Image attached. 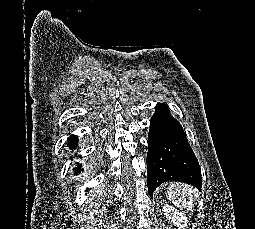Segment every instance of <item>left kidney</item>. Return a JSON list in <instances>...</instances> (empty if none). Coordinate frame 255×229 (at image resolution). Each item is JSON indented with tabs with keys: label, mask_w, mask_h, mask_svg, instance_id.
<instances>
[{
	"label": "left kidney",
	"mask_w": 255,
	"mask_h": 229,
	"mask_svg": "<svg viewBox=\"0 0 255 229\" xmlns=\"http://www.w3.org/2000/svg\"><path fill=\"white\" fill-rule=\"evenodd\" d=\"M163 212L166 218L173 223L175 226L185 229L187 226L188 219L187 217L179 212L176 208L169 204L163 205Z\"/></svg>",
	"instance_id": "obj_1"
}]
</instances>
